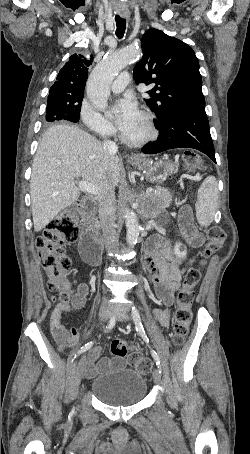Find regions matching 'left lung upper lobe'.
Returning a JSON list of instances; mask_svg holds the SVG:
<instances>
[{
	"mask_svg": "<svg viewBox=\"0 0 250 454\" xmlns=\"http://www.w3.org/2000/svg\"><path fill=\"white\" fill-rule=\"evenodd\" d=\"M143 57L134 68L136 83L155 84L144 101L160 125L176 112L205 108L199 62L186 43L151 28L142 36Z\"/></svg>",
	"mask_w": 250,
	"mask_h": 454,
	"instance_id": "left-lung-upper-lobe-1",
	"label": "left lung upper lobe"
}]
</instances>
